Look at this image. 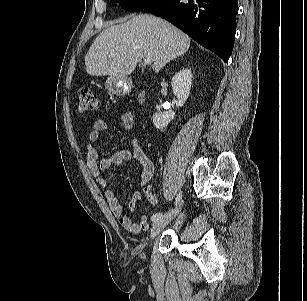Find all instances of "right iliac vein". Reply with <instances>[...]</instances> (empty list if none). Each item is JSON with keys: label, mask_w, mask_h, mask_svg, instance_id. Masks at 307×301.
I'll return each instance as SVG.
<instances>
[{"label": "right iliac vein", "mask_w": 307, "mask_h": 301, "mask_svg": "<svg viewBox=\"0 0 307 301\" xmlns=\"http://www.w3.org/2000/svg\"><path fill=\"white\" fill-rule=\"evenodd\" d=\"M182 204L180 203L174 209L170 210L169 212L165 213L162 217H160L157 221L153 223L151 228L150 237H156L160 231H162L179 213L181 210Z\"/></svg>", "instance_id": "obj_1"}]
</instances>
